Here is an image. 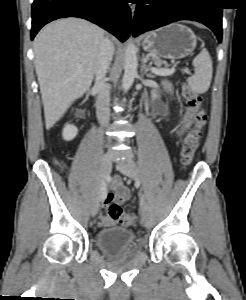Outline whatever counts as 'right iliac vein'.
Listing matches in <instances>:
<instances>
[{"mask_svg":"<svg viewBox=\"0 0 246 300\" xmlns=\"http://www.w3.org/2000/svg\"><path fill=\"white\" fill-rule=\"evenodd\" d=\"M111 159L110 156L108 154H106L103 158L102 161L100 163V171H99V182L95 191V195H94V201L92 204V208H91V215L92 217H94L99 209V205H100V199H101V183L103 181H105V179L108 177V175L111 172Z\"/></svg>","mask_w":246,"mask_h":300,"instance_id":"1","label":"right iliac vein"}]
</instances>
